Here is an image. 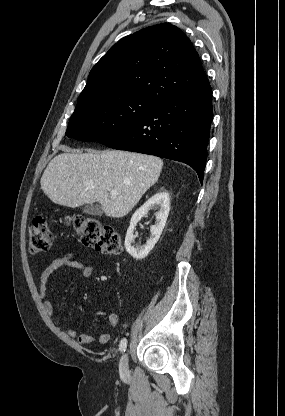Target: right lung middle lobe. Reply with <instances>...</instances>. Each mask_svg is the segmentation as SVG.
I'll use <instances>...</instances> for the list:
<instances>
[{"mask_svg":"<svg viewBox=\"0 0 285 416\" xmlns=\"http://www.w3.org/2000/svg\"><path fill=\"white\" fill-rule=\"evenodd\" d=\"M157 106L144 98L126 97L75 109L66 136L82 141H100L136 123Z\"/></svg>","mask_w":285,"mask_h":416,"instance_id":"obj_1","label":"right lung middle lobe"}]
</instances>
